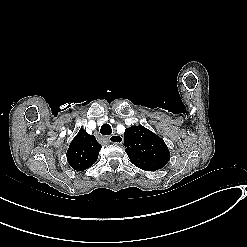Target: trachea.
<instances>
[{
	"instance_id": "3493384b",
	"label": "trachea",
	"mask_w": 247,
	"mask_h": 247,
	"mask_svg": "<svg viewBox=\"0 0 247 247\" xmlns=\"http://www.w3.org/2000/svg\"><path fill=\"white\" fill-rule=\"evenodd\" d=\"M100 133L105 136H109L112 133V127L109 124L102 125Z\"/></svg>"
}]
</instances>
